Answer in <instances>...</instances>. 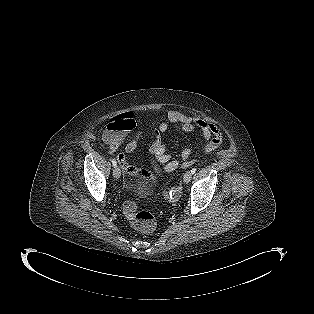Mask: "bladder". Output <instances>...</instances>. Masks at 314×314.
<instances>
[{
  "label": "bladder",
  "instance_id": "bladder-1",
  "mask_svg": "<svg viewBox=\"0 0 314 314\" xmlns=\"http://www.w3.org/2000/svg\"><path fill=\"white\" fill-rule=\"evenodd\" d=\"M148 193H149V190L144 191V192H143V196H147Z\"/></svg>",
  "mask_w": 314,
  "mask_h": 314
}]
</instances>
